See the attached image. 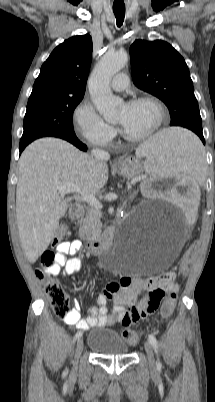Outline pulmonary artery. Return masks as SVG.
<instances>
[{
  "instance_id": "1",
  "label": "pulmonary artery",
  "mask_w": 215,
  "mask_h": 402,
  "mask_svg": "<svg viewBox=\"0 0 215 402\" xmlns=\"http://www.w3.org/2000/svg\"><path fill=\"white\" fill-rule=\"evenodd\" d=\"M128 84L129 79L127 74L125 73L116 74L111 81V87L116 91L124 90L128 86Z\"/></svg>"
}]
</instances>
